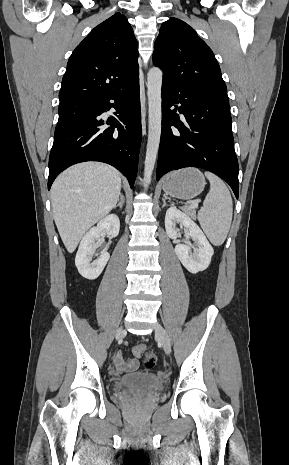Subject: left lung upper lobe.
<instances>
[{
    "mask_svg": "<svg viewBox=\"0 0 289 465\" xmlns=\"http://www.w3.org/2000/svg\"><path fill=\"white\" fill-rule=\"evenodd\" d=\"M153 62L163 82L229 101L219 64L206 43L184 21H165L155 41Z\"/></svg>",
    "mask_w": 289,
    "mask_h": 465,
    "instance_id": "1",
    "label": "left lung upper lobe"
}]
</instances>
